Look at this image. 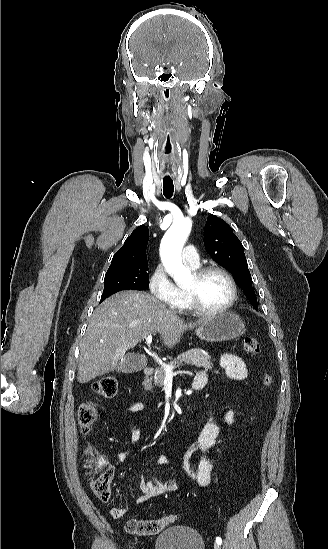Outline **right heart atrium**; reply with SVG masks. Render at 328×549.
Wrapping results in <instances>:
<instances>
[{
  "mask_svg": "<svg viewBox=\"0 0 328 549\" xmlns=\"http://www.w3.org/2000/svg\"><path fill=\"white\" fill-rule=\"evenodd\" d=\"M174 288L162 263L154 264L148 276V290L152 303H167L174 293Z\"/></svg>",
  "mask_w": 328,
  "mask_h": 549,
  "instance_id": "obj_1",
  "label": "right heart atrium"
}]
</instances>
